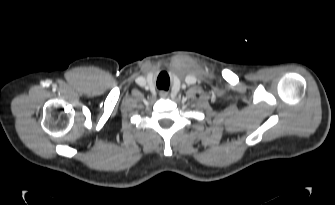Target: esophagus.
<instances>
[{
	"label": "esophagus",
	"instance_id": "esophagus-1",
	"mask_svg": "<svg viewBox=\"0 0 335 205\" xmlns=\"http://www.w3.org/2000/svg\"><path fill=\"white\" fill-rule=\"evenodd\" d=\"M162 96H166V93H161Z\"/></svg>",
	"mask_w": 335,
	"mask_h": 205
}]
</instances>
